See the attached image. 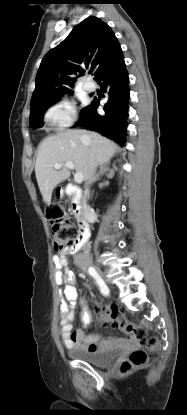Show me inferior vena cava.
<instances>
[{"mask_svg":"<svg viewBox=\"0 0 187 415\" xmlns=\"http://www.w3.org/2000/svg\"><path fill=\"white\" fill-rule=\"evenodd\" d=\"M96 168H97V163L94 160V157L91 156L90 157V165H89V174H88V183H91L95 177V173H96Z\"/></svg>","mask_w":187,"mask_h":415,"instance_id":"obj_1","label":"inferior vena cava"}]
</instances>
